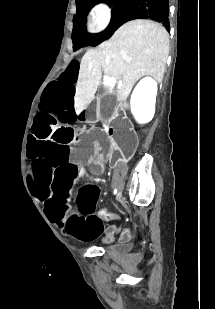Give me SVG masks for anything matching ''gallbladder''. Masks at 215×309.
<instances>
[{
	"mask_svg": "<svg viewBox=\"0 0 215 309\" xmlns=\"http://www.w3.org/2000/svg\"><path fill=\"white\" fill-rule=\"evenodd\" d=\"M118 106V100L116 94H113V92H106L104 96H101L99 100V110L103 116H111V114H114L115 108Z\"/></svg>",
	"mask_w": 215,
	"mask_h": 309,
	"instance_id": "gallbladder-1",
	"label": "gallbladder"
}]
</instances>
